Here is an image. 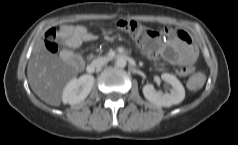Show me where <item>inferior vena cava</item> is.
Listing matches in <instances>:
<instances>
[{
	"label": "inferior vena cava",
	"mask_w": 238,
	"mask_h": 145,
	"mask_svg": "<svg viewBox=\"0 0 238 145\" xmlns=\"http://www.w3.org/2000/svg\"><path fill=\"white\" fill-rule=\"evenodd\" d=\"M107 63V59L105 57H99L94 59L91 62V67L92 68H99L102 67L103 65H105Z\"/></svg>",
	"instance_id": "1"
}]
</instances>
